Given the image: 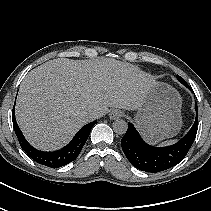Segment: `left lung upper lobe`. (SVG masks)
<instances>
[{"mask_svg": "<svg viewBox=\"0 0 211 211\" xmlns=\"http://www.w3.org/2000/svg\"><path fill=\"white\" fill-rule=\"evenodd\" d=\"M177 79H178L180 82H185V80H184L182 77H180L179 75H177Z\"/></svg>", "mask_w": 211, "mask_h": 211, "instance_id": "1", "label": "left lung upper lobe"}]
</instances>
